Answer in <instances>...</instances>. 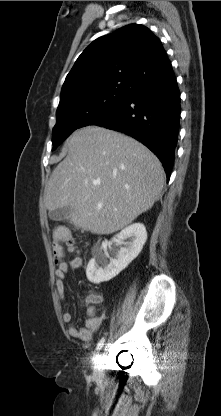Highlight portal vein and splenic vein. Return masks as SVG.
I'll use <instances>...</instances> for the list:
<instances>
[{
	"mask_svg": "<svg viewBox=\"0 0 221 416\" xmlns=\"http://www.w3.org/2000/svg\"><path fill=\"white\" fill-rule=\"evenodd\" d=\"M95 184H96V185H98V184H100V183H99V182H96Z\"/></svg>",
	"mask_w": 221,
	"mask_h": 416,
	"instance_id": "1",
	"label": "portal vein and splenic vein"
}]
</instances>
